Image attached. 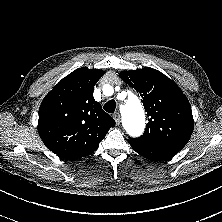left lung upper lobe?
<instances>
[{
    "label": "left lung upper lobe",
    "instance_id": "1",
    "mask_svg": "<svg viewBox=\"0 0 222 222\" xmlns=\"http://www.w3.org/2000/svg\"><path fill=\"white\" fill-rule=\"evenodd\" d=\"M119 76L139 92L149 117L144 134L130 139L148 144L185 146L194 122L190 103L179 87L152 68L122 71Z\"/></svg>",
    "mask_w": 222,
    "mask_h": 222
}]
</instances>
